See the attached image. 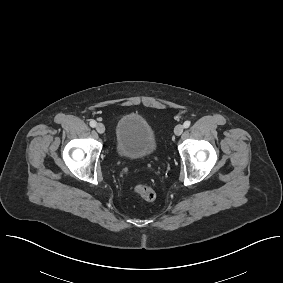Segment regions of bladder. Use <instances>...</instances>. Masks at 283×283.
<instances>
[{
    "instance_id": "31cf9c89",
    "label": "bladder",
    "mask_w": 283,
    "mask_h": 283,
    "mask_svg": "<svg viewBox=\"0 0 283 283\" xmlns=\"http://www.w3.org/2000/svg\"><path fill=\"white\" fill-rule=\"evenodd\" d=\"M157 146L156 134L143 116L130 113L118 120L114 151L119 159L136 160L151 157Z\"/></svg>"
}]
</instances>
